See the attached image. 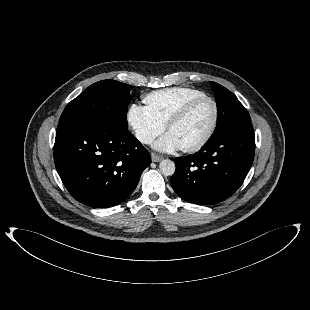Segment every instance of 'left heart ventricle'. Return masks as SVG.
Instances as JSON below:
<instances>
[{
	"label": "left heart ventricle",
	"mask_w": 310,
	"mask_h": 310,
	"mask_svg": "<svg viewBox=\"0 0 310 310\" xmlns=\"http://www.w3.org/2000/svg\"><path fill=\"white\" fill-rule=\"evenodd\" d=\"M213 118V106L209 101L198 103L179 123L170 128L183 146L200 141L208 131Z\"/></svg>",
	"instance_id": "left-heart-ventricle-1"
}]
</instances>
